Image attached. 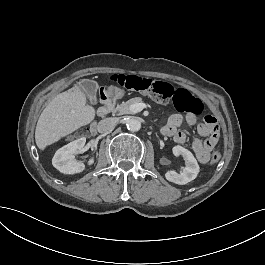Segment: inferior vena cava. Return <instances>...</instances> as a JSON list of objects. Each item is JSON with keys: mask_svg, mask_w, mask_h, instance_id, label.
Returning a JSON list of instances; mask_svg holds the SVG:
<instances>
[{"mask_svg": "<svg viewBox=\"0 0 265 265\" xmlns=\"http://www.w3.org/2000/svg\"><path fill=\"white\" fill-rule=\"evenodd\" d=\"M118 122L117 118H105L98 123L97 130L99 133H105L113 129Z\"/></svg>", "mask_w": 265, "mask_h": 265, "instance_id": "obj_1", "label": "inferior vena cava"}]
</instances>
